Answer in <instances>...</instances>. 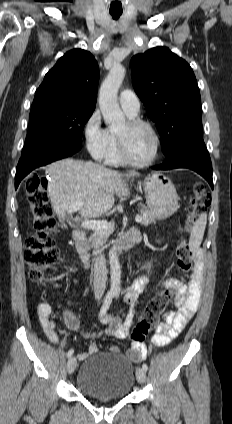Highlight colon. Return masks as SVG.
Returning <instances> with one entry per match:
<instances>
[{
	"mask_svg": "<svg viewBox=\"0 0 232 424\" xmlns=\"http://www.w3.org/2000/svg\"><path fill=\"white\" fill-rule=\"evenodd\" d=\"M47 181L42 175H32L26 184V195L33 216L34 229L24 245V259L28 266L30 279L36 283L43 280L44 274L58 260V249L52 239L57 234L56 220L46 192ZM209 204L204 186L196 183L194 197L187 209L184 230L188 231L199 215ZM177 264L182 273H187L193 266L192 251L186 239L177 247ZM173 287H166L158 292L141 313L139 322L131 332L129 343L143 344L150 331L156 326L159 317L176 296Z\"/></svg>",
	"mask_w": 232,
	"mask_h": 424,
	"instance_id": "obj_1",
	"label": "colon"
}]
</instances>
